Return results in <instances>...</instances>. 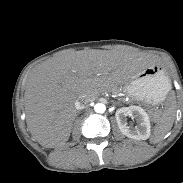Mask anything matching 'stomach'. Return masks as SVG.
Instances as JSON below:
<instances>
[{"instance_id":"1","label":"stomach","mask_w":183,"mask_h":183,"mask_svg":"<svg viewBox=\"0 0 183 183\" xmlns=\"http://www.w3.org/2000/svg\"><path fill=\"white\" fill-rule=\"evenodd\" d=\"M169 84L165 72L152 66L131 76L125 81L123 88L131 97L156 105L165 100L169 92Z\"/></svg>"}]
</instances>
